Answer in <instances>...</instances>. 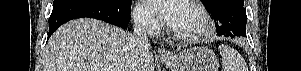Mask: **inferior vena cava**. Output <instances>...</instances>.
I'll return each mask as SVG.
<instances>
[{
	"instance_id": "obj_1",
	"label": "inferior vena cava",
	"mask_w": 301,
	"mask_h": 71,
	"mask_svg": "<svg viewBox=\"0 0 301 71\" xmlns=\"http://www.w3.org/2000/svg\"><path fill=\"white\" fill-rule=\"evenodd\" d=\"M149 19L147 14H138L134 20V32L146 47H150L148 37L145 32V26Z\"/></svg>"
}]
</instances>
